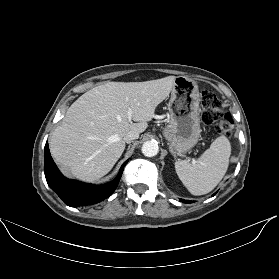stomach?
<instances>
[{"label":"stomach","mask_w":279,"mask_h":279,"mask_svg":"<svg viewBox=\"0 0 279 279\" xmlns=\"http://www.w3.org/2000/svg\"><path fill=\"white\" fill-rule=\"evenodd\" d=\"M200 93L197 83L176 77L168 108L169 124L163 129L171 152L182 154L193 148L200 137Z\"/></svg>","instance_id":"1"}]
</instances>
